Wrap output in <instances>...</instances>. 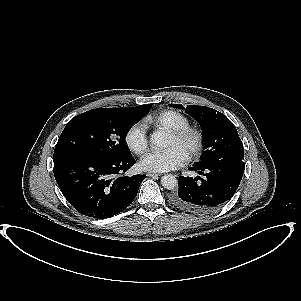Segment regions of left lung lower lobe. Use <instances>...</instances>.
I'll return each mask as SVG.
<instances>
[{
    "label": "left lung lower lobe",
    "mask_w": 301,
    "mask_h": 301,
    "mask_svg": "<svg viewBox=\"0 0 301 301\" xmlns=\"http://www.w3.org/2000/svg\"><path fill=\"white\" fill-rule=\"evenodd\" d=\"M244 169V162L237 157H227L206 167H192L189 170L201 176L178 178L179 189L171 195L170 201L182 210L215 211L233 197Z\"/></svg>",
    "instance_id": "left-lung-lower-lobe-1"
}]
</instances>
